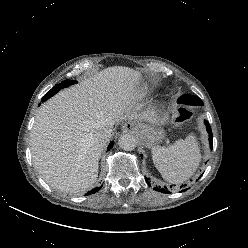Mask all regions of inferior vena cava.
Wrapping results in <instances>:
<instances>
[{"label":"inferior vena cava","mask_w":248,"mask_h":248,"mask_svg":"<svg viewBox=\"0 0 248 248\" xmlns=\"http://www.w3.org/2000/svg\"><path fill=\"white\" fill-rule=\"evenodd\" d=\"M112 136V128H103L94 134V141L99 144H106Z\"/></svg>","instance_id":"1"}]
</instances>
